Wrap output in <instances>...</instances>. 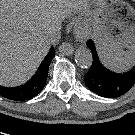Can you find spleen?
<instances>
[{
	"instance_id": "obj_1",
	"label": "spleen",
	"mask_w": 135,
	"mask_h": 135,
	"mask_svg": "<svg viewBox=\"0 0 135 135\" xmlns=\"http://www.w3.org/2000/svg\"><path fill=\"white\" fill-rule=\"evenodd\" d=\"M135 54L131 52L120 51L115 56L103 59L104 63L112 70L125 71L135 62Z\"/></svg>"
}]
</instances>
